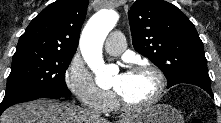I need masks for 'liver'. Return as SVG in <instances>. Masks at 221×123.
Returning <instances> with one entry per match:
<instances>
[{
  "mask_svg": "<svg viewBox=\"0 0 221 123\" xmlns=\"http://www.w3.org/2000/svg\"><path fill=\"white\" fill-rule=\"evenodd\" d=\"M0 121L1 123H110L74 104L46 99L12 106L2 114Z\"/></svg>",
  "mask_w": 221,
  "mask_h": 123,
  "instance_id": "6515ba94",
  "label": "liver"
}]
</instances>
